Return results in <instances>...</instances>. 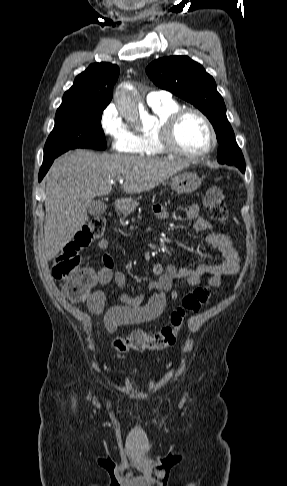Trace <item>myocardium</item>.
I'll return each instance as SVG.
<instances>
[{"instance_id": "f54148a6", "label": "myocardium", "mask_w": 287, "mask_h": 486, "mask_svg": "<svg viewBox=\"0 0 287 486\" xmlns=\"http://www.w3.org/2000/svg\"><path fill=\"white\" fill-rule=\"evenodd\" d=\"M187 114L197 115L203 121L209 132L210 143L204 150L198 152H187L180 149L175 142L176 127L179 121ZM157 137L161 147L166 153L188 159H195L207 156L215 150L218 144L217 134L210 119L204 112L194 107L179 108L178 110L171 113L164 121L159 124L157 128Z\"/></svg>"}]
</instances>
